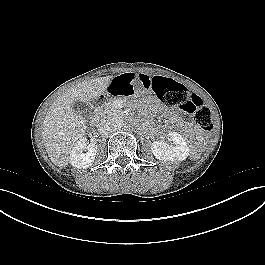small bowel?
<instances>
[{"label":"small bowel","instance_id":"obj_1","mask_svg":"<svg viewBox=\"0 0 265 265\" xmlns=\"http://www.w3.org/2000/svg\"><path fill=\"white\" fill-rule=\"evenodd\" d=\"M133 78L132 74H124L115 78L110 84V90L114 95H131L134 92L135 86L131 81Z\"/></svg>","mask_w":265,"mask_h":265}]
</instances>
